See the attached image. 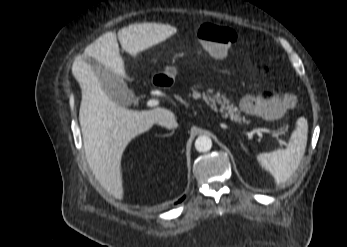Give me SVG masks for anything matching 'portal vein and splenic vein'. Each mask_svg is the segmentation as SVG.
<instances>
[{"label":"portal vein and splenic vein","mask_w":347,"mask_h":247,"mask_svg":"<svg viewBox=\"0 0 347 247\" xmlns=\"http://www.w3.org/2000/svg\"><path fill=\"white\" fill-rule=\"evenodd\" d=\"M159 104V101L156 100V99H150L147 101V106L149 107H154V106H157ZM255 132L262 138V135H261V132H266V133H270L272 134L273 136H275V133L269 129H255ZM260 138V139H261Z\"/></svg>","instance_id":"18ae733b"}]
</instances>
